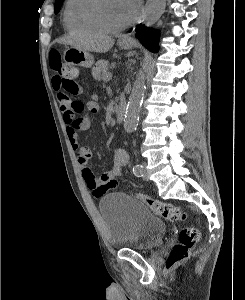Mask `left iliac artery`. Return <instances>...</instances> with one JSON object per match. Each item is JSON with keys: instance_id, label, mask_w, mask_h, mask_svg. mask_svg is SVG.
<instances>
[{"instance_id": "44dca946", "label": "left iliac artery", "mask_w": 245, "mask_h": 300, "mask_svg": "<svg viewBox=\"0 0 245 300\" xmlns=\"http://www.w3.org/2000/svg\"><path fill=\"white\" fill-rule=\"evenodd\" d=\"M133 173H134L135 176L141 177L142 165H140V164L134 165L133 166Z\"/></svg>"}]
</instances>
